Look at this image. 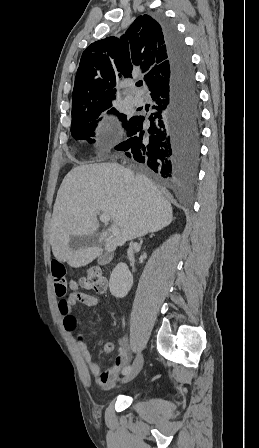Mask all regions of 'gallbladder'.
I'll return each mask as SVG.
<instances>
[{
  "label": "gallbladder",
  "instance_id": "bac80fb5",
  "mask_svg": "<svg viewBox=\"0 0 259 448\" xmlns=\"http://www.w3.org/2000/svg\"><path fill=\"white\" fill-rule=\"evenodd\" d=\"M100 234H93V236H70L69 246L73 252L77 250H87L93 246H101Z\"/></svg>",
  "mask_w": 259,
  "mask_h": 448
}]
</instances>
